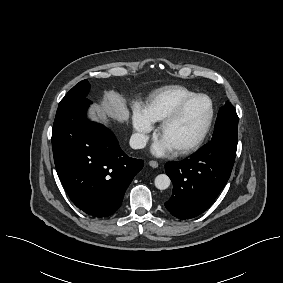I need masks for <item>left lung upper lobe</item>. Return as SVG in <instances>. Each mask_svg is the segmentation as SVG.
Segmentation results:
<instances>
[{
	"label": "left lung upper lobe",
	"instance_id": "obj_1",
	"mask_svg": "<svg viewBox=\"0 0 283 283\" xmlns=\"http://www.w3.org/2000/svg\"><path fill=\"white\" fill-rule=\"evenodd\" d=\"M211 142L223 143L237 149L238 116L235 108L229 102H226L218 113Z\"/></svg>",
	"mask_w": 283,
	"mask_h": 283
}]
</instances>
